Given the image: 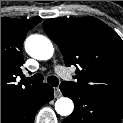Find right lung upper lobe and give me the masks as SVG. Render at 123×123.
I'll use <instances>...</instances> for the list:
<instances>
[{
	"mask_svg": "<svg viewBox=\"0 0 123 123\" xmlns=\"http://www.w3.org/2000/svg\"><path fill=\"white\" fill-rule=\"evenodd\" d=\"M39 20H21L1 18V108L30 96L36 85L16 83V77L22 75L23 41L29 30Z\"/></svg>",
	"mask_w": 123,
	"mask_h": 123,
	"instance_id": "cb5924a9",
	"label": "right lung upper lobe"
}]
</instances>
